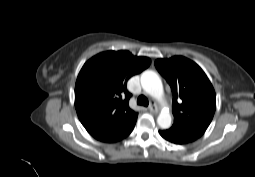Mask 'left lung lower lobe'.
<instances>
[{
	"mask_svg": "<svg viewBox=\"0 0 255 177\" xmlns=\"http://www.w3.org/2000/svg\"><path fill=\"white\" fill-rule=\"evenodd\" d=\"M159 134L166 140L175 143V144H184L188 143L185 139L178 137L172 133H170L168 130L159 131Z\"/></svg>",
	"mask_w": 255,
	"mask_h": 177,
	"instance_id": "obj_1",
	"label": "left lung lower lobe"
}]
</instances>
